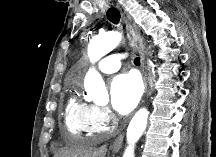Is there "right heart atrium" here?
<instances>
[{
    "instance_id": "right-heart-atrium-1",
    "label": "right heart atrium",
    "mask_w": 216,
    "mask_h": 157,
    "mask_svg": "<svg viewBox=\"0 0 216 157\" xmlns=\"http://www.w3.org/2000/svg\"><path fill=\"white\" fill-rule=\"evenodd\" d=\"M113 116L107 107L91 105L86 128L91 134H103L110 130Z\"/></svg>"
}]
</instances>
